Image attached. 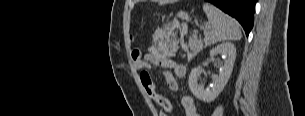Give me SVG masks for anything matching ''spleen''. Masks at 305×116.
Instances as JSON below:
<instances>
[{"label":"spleen","mask_w":305,"mask_h":116,"mask_svg":"<svg viewBox=\"0 0 305 116\" xmlns=\"http://www.w3.org/2000/svg\"><path fill=\"white\" fill-rule=\"evenodd\" d=\"M203 10L208 17V25L204 30L206 45L241 39L240 26L234 18L209 3L203 5Z\"/></svg>","instance_id":"1"}]
</instances>
